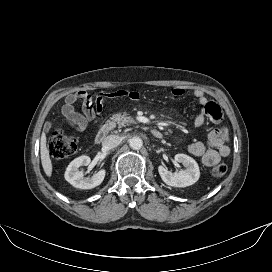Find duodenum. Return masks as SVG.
Wrapping results in <instances>:
<instances>
[{
  "instance_id": "duodenum-1",
  "label": "duodenum",
  "mask_w": 272,
  "mask_h": 272,
  "mask_svg": "<svg viewBox=\"0 0 272 272\" xmlns=\"http://www.w3.org/2000/svg\"><path fill=\"white\" fill-rule=\"evenodd\" d=\"M109 131H110V125H108V124L103 125L101 127V129L98 131V133L96 134L95 142L96 143L102 142L105 139V137L107 136V134L109 133ZM151 134L155 138H158V139L163 137L162 132L158 129H152Z\"/></svg>"
}]
</instances>
